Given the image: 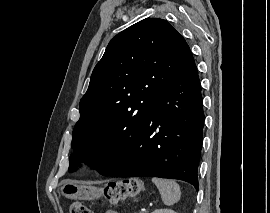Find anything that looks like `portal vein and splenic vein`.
<instances>
[{
	"label": "portal vein and splenic vein",
	"mask_w": 270,
	"mask_h": 213,
	"mask_svg": "<svg viewBox=\"0 0 270 213\" xmlns=\"http://www.w3.org/2000/svg\"><path fill=\"white\" fill-rule=\"evenodd\" d=\"M145 210L143 209L140 213L144 212Z\"/></svg>",
	"instance_id": "1"
}]
</instances>
